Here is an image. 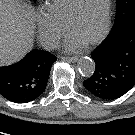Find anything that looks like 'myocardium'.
Segmentation results:
<instances>
[{"label": "myocardium", "mask_w": 135, "mask_h": 135, "mask_svg": "<svg viewBox=\"0 0 135 135\" xmlns=\"http://www.w3.org/2000/svg\"><path fill=\"white\" fill-rule=\"evenodd\" d=\"M85 1L86 0H79L74 11L67 19L66 24H65V28H64L67 35L69 33V29H70V26L72 25V23L77 18H79V16L82 14ZM111 13H112V0H107L106 14H105L104 25H103L102 30L95 38H93L91 41L84 44V46L91 47V46H94L96 44H99L101 41H103L105 39V37L108 35L109 30H110Z\"/></svg>", "instance_id": "obj_1"}]
</instances>
